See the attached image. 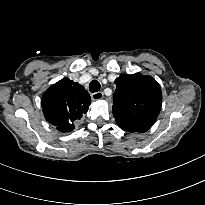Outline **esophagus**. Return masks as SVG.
<instances>
[{"mask_svg":"<svg viewBox=\"0 0 205 205\" xmlns=\"http://www.w3.org/2000/svg\"><path fill=\"white\" fill-rule=\"evenodd\" d=\"M104 97V94L102 92H95L91 94V98L93 100H100Z\"/></svg>","mask_w":205,"mask_h":205,"instance_id":"34e87169","label":"esophagus"}]
</instances>
